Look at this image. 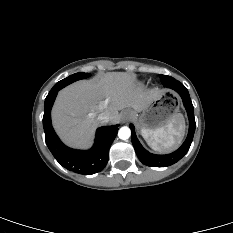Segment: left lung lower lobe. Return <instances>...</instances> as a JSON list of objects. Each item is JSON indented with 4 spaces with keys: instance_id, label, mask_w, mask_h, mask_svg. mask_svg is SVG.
Wrapping results in <instances>:
<instances>
[{
    "instance_id": "left-lung-lower-lobe-1",
    "label": "left lung lower lobe",
    "mask_w": 233,
    "mask_h": 233,
    "mask_svg": "<svg viewBox=\"0 0 233 233\" xmlns=\"http://www.w3.org/2000/svg\"><path fill=\"white\" fill-rule=\"evenodd\" d=\"M166 87L173 89L181 96L183 100V104L186 108L189 117V132L185 142L178 150L167 155H155L149 153L147 150L143 148V146L140 144L139 140L136 137L134 125L130 124L129 126L132 131L131 139L135 152L139 160L144 165L151 167H167L178 162L188 152L193 140L195 127H196L195 118H194V108L186 87L176 79H174L172 82L167 84Z\"/></svg>"
}]
</instances>
